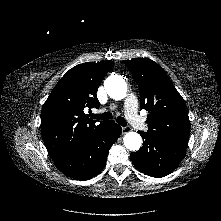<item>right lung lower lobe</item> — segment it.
<instances>
[{
	"label": "right lung lower lobe",
	"mask_w": 221,
	"mask_h": 221,
	"mask_svg": "<svg viewBox=\"0 0 221 221\" xmlns=\"http://www.w3.org/2000/svg\"><path fill=\"white\" fill-rule=\"evenodd\" d=\"M121 131V127L114 121H107L102 129L73 153L54 162L63 173L74 179H91L105 166L109 149L117 141Z\"/></svg>",
	"instance_id": "obj_1"
}]
</instances>
